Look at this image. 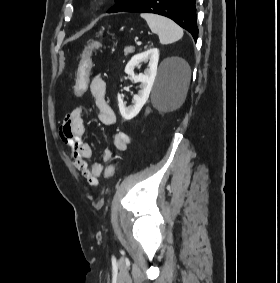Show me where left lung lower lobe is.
I'll list each match as a JSON object with an SVG mask.
<instances>
[{
  "instance_id": "obj_1",
  "label": "left lung lower lobe",
  "mask_w": 280,
  "mask_h": 283,
  "mask_svg": "<svg viewBox=\"0 0 280 283\" xmlns=\"http://www.w3.org/2000/svg\"><path fill=\"white\" fill-rule=\"evenodd\" d=\"M125 12H147L166 16L190 32L197 40L195 0H138Z\"/></svg>"
}]
</instances>
